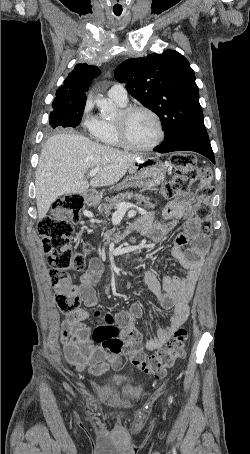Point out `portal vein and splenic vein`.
<instances>
[{
	"label": "portal vein and splenic vein",
	"mask_w": 250,
	"mask_h": 454,
	"mask_svg": "<svg viewBox=\"0 0 250 454\" xmlns=\"http://www.w3.org/2000/svg\"><path fill=\"white\" fill-rule=\"evenodd\" d=\"M98 172V169H92L88 176L89 177H94ZM131 207V204L128 203V202H120L117 207H116V213L119 214V215H124L126 213V211Z\"/></svg>",
	"instance_id": "obj_1"
}]
</instances>
